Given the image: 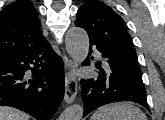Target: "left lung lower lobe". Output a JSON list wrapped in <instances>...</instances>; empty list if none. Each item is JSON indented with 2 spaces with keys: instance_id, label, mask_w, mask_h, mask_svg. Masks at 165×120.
<instances>
[{
  "instance_id": "left-lung-lower-lobe-1",
  "label": "left lung lower lobe",
  "mask_w": 165,
  "mask_h": 120,
  "mask_svg": "<svg viewBox=\"0 0 165 120\" xmlns=\"http://www.w3.org/2000/svg\"><path fill=\"white\" fill-rule=\"evenodd\" d=\"M89 40V55L96 46L103 61L95 65L98 71L93 77L81 80L83 117L102 105L119 101L136 102L149 110L142 75L125 66L109 49ZM82 65H90L89 58Z\"/></svg>"
}]
</instances>
